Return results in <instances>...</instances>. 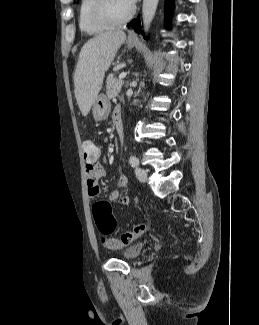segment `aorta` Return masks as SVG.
Returning <instances> with one entry per match:
<instances>
[{"label":"aorta","mask_w":259,"mask_h":325,"mask_svg":"<svg viewBox=\"0 0 259 325\" xmlns=\"http://www.w3.org/2000/svg\"><path fill=\"white\" fill-rule=\"evenodd\" d=\"M159 0H143L142 22L145 31H148L154 18Z\"/></svg>","instance_id":"1"}]
</instances>
